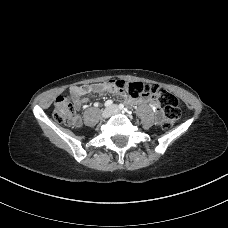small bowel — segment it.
Returning <instances> with one entry per match:
<instances>
[{
  "label": "small bowel",
  "instance_id": "small-bowel-1",
  "mask_svg": "<svg viewBox=\"0 0 228 228\" xmlns=\"http://www.w3.org/2000/svg\"><path fill=\"white\" fill-rule=\"evenodd\" d=\"M115 81L110 80L104 83H97V84H91V85H75L71 86L68 89L67 95L72 98L74 102L75 108L81 107L85 103V99H82L81 97L88 93H97V94H112L117 97H125L127 98V101L129 103H132L133 101L127 97V95L118 90L115 85ZM140 102H149L151 106L158 110L159 109V103L149 97H145L144 99L140 100ZM73 125L79 124V118L75 117L72 122Z\"/></svg>",
  "mask_w": 228,
  "mask_h": 228
}]
</instances>
